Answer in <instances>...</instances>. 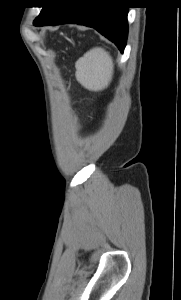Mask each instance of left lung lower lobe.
I'll list each match as a JSON object with an SVG mask.
<instances>
[{
  "label": "left lung lower lobe",
  "instance_id": "1",
  "mask_svg": "<svg viewBox=\"0 0 181 300\" xmlns=\"http://www.w3.org/2000/svg\"><path fill=\"white\" fill-rule=\"evenodd\" d=\"M127 14L128 6L122 0H55L37 26L64 23L89 26L123 53L128 34Z\"/></svg>",
  "mask_w": 181,
  "mask_h": 300
}]
</instances>
